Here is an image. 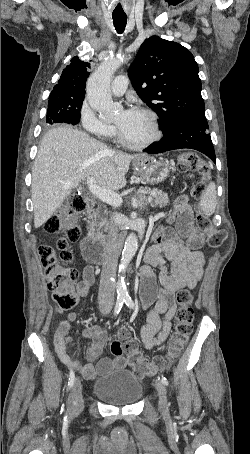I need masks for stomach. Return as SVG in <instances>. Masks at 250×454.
Here are the masks:
<instances>
[{
  "mask_svg": "<svg viewBox=\"0 0 250 454\" xmlns=\"http://www.w3.org/2000/svg\"><path fill=\"white\" fill-rule=\"evenodd\" d=\"M133 167L142 181L157 184L168 176L171 165L166 159L156 160L148 155H140L133 160Z\"/></svg>",
  "mask_w": 250,
  "mask_h": 454,
  "instance_id": "0dacf381",
  "label": "stomach"
}]
</instances>
